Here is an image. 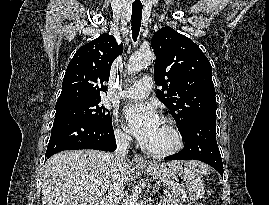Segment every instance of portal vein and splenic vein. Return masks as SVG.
<instances>
[{
    "instance_id": "portal-vein-and-splenic-vein-1",
    "label": "portal vein and splenic vein",
    "mask_w": 269,
    "mask_h": 205,
    "mask_svg": "<svg viewBox=\"0 0 269 205\" xmlns=\"http://www.w3.org/2000/svg\"><path fill=\"white\" fill-rule=\"evenodd\" d=\"M94 192V194H98L97 190H92Z\"/></svg>"
}]
</instances>
